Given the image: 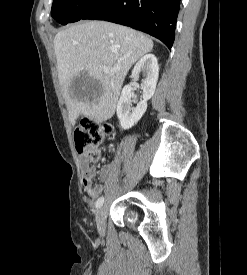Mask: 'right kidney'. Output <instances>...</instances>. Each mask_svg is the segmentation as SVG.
I'll list each match as a JSON object with an SVG mask.
<instances>
[{
  "instance_id": "right-kidney-1",
  "label": "right kidney",
  "mask_w": 247,
  "mask_h": 275,
  "mask_svg": "<svg viewBox=\"0 0 247 275\" xmlns=\"http://www.w3.org/2000/svg\"><path fill=\"white\" fill-rule=\"evenodd\" d=\"M140 73L144 76L141 83L143 100H141L135 108L132 107L131 97L133 88L131 85H126L117 103V116L124 130L131 128L142 118L147 110V101L151 99L155 93L159 76V66L155 55H144L134 66L131 76L137 80Z\"/></svg>"
}]
</instances>
